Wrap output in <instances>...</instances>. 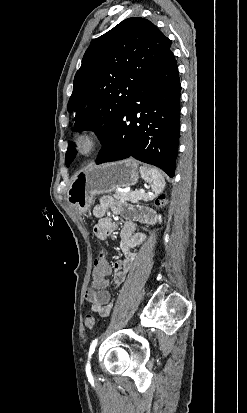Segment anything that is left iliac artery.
<instances>
[{
  "instance_id": "obj_1",
  "label": "left iliac artery",
  "mask_w": 247,
  "mask_h": 413,
  "mask_svg": "<svg viewBox=\"0 0 247 413\" xmlns=\"http://www.w3.org/2000/svg\"><path fill=\"white\" fill-rule=\"evenodd\" d=\"M97 342H98V340L95 339V340L92 341V343L90 345L89 354H88V362H87V365H86V369H90V361L89 360L91 359V355L95 351V347L97 345Z\"/></svg>"
}]
</instances>
